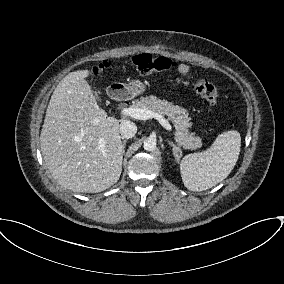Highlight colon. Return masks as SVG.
Returning a JSON list of instances; mask_svg holds the SVG:
<instances>
[{
  "instance_id": "colon-1",
  "label": "colon",
  "mask_w": 284,
  "mask_h": 284,
  "mask_svg": "<svg viewBox=\"0 0 284 284\" xmlns=\"http://www.w3.org/2000/svg\"><path fill=\"white\" fill-rule=\"evenodd\" d=\"M132 65L136 71L142 75H148L156 72L168 71L175 68L176 64L171 59L164 56H153L151 54H137L132 57ZM102 66L95 69L99 72ZM185 82H190V77L184 79ZM194 90L203 99L211 105H216L219 102V95L216 87L205 79L194 81Z\"/></svg>"
}]
</instances>
